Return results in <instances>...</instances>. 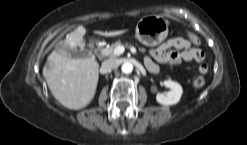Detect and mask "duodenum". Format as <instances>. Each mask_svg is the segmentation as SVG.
<instances>
[{
    "mask_svg": "<svg viewBox=\"0 0 247 145\" xmlns=\"http://www.w3.org/2000/svg\"><path fill=\"white\" fill-rule=\"evenodd\" d=\"M96 44H97V40H92L90 44L91 48H94Z\"/></svg>",
    "mask_w": 247,
    "mask_h": 145,
    "instance_id": "duodenum-1",
    "label": "duodenum"
}]
</instances>
